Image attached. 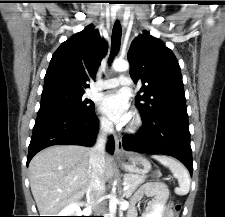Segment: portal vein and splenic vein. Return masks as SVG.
I'll return each instance as SVG.
<instances>
[{
	"instance_id": "portal-vein-and-splenic-vein-1",
	"label": "portal vein and splenic vein",
	"mask_w": 225,
	"mask_h": 217,
	"mask_svg": "<svg viewBox=\"0 0 225 217\" xmlns=\"http://www.w3.org/2000/svg\"><path fill=\"white\" fill-rule=\"evenodd\" d=\"M129 189V187L125 184L124 188H123V191H127Z\"/></svg>"
}]
</instances>
